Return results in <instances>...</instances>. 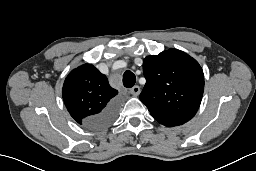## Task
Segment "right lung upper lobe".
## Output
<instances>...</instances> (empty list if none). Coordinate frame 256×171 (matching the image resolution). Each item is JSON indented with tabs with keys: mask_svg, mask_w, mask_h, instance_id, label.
Returning a JSON list of instances; mask_svg holds the SVG:
<instances>
[{
	"mask_svg": "<svg viewBox=\"0 0 256 171\" xmlns=\"http://www.w3.org/2000/svg\"><path fill=\"white\" fill-rule=\"evenodd\" d=\"M117 94L107 77L91 64L72 70L62 88V97L70 115L80 125L88 127V120L116 101Z\"/></svg>",
	"mask_w": 256,
	"mask_h": 171,
	"instance_id": "1",
	"label": "right lung upper lobe"
}]
</instances>
